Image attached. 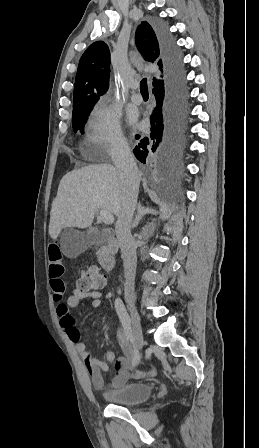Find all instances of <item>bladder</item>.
<instances>
[{
	"label": "bladder",
	"instance_id": "1",
	"mask_svg": "<svg viewBox=\"0 0 259 448\" xmlns=\"http://www.w3.org/2000/svg\"><path fill=\"white\" fill-rule=\"evenodd\" d=\"M152 392V388L144 383H130L115 389L106 390L102 397L113 404L136 405L146 401Z\"/></svg>",
	"mask_w": 259,
	"mask_h": 448
}]
</instances>
